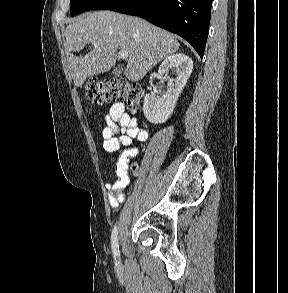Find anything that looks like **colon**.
<instances>
[{
    "label": "colon",
    "instance_id": "obj_1",
    "mask_svg": "<svg viewBox=\"0 0 288 293\" xmlns=\"http://www.w3.org/2000/svg\"><path fill=\"white\" fill-rule=\"evenodd\" d=\"M84 89L86 96L96 104L124 101L131 110L138 108L143 96L140 86L122 79L104 82L90 78L86 80ZM133 168L136 169V166Z\"/></svg>",
    "mask_w": 288,
    "mask_h": 293
}]
</instances>
